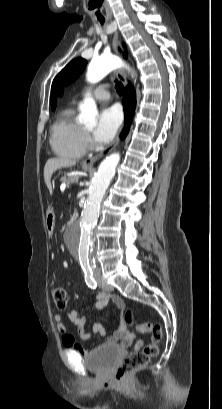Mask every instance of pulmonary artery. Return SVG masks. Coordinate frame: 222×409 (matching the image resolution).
<instances>
[{
    "label": "pulmonary artery",
    "mask_w": 222,
    "mask_h": 409,
    "mask_svg": "<svg viewBox=\"0 0 222 409\" xmlns=\"http://www.w3.org/2000/svg\"><path fill=\"white\" fill-rule=\"evenodd\" d=\"M93 97L96 100L99 101H105L108 100L110 98V93L108 90V85L103 84L100 85L99 87H97L94 91H93Z\"/></svg>",
    "instance_id": "e3ab8cb5"
}]
</instances>
